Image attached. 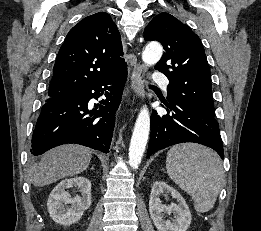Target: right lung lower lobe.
I'll return each mask as SVG.
<instances>
[{
  "instance_id": "1",
  "label": "right lung lower lobe",
  "mask_w": 261,
  "mask_h": 231,
  "mask_svg": "<svg viewBox=\"0 0 261 231\" xmlns=\"http://www.w3.org/2000/svg\"><path fill=\"white\" fill-rule=\"evenodd\" d=\"M126 78L127 66L74 95L46 102L33 132L31 154L37 156L68 143L108 153ZM102 94L106 99L91 110L89 100Z\"/></svg>"
}]
</instances>
